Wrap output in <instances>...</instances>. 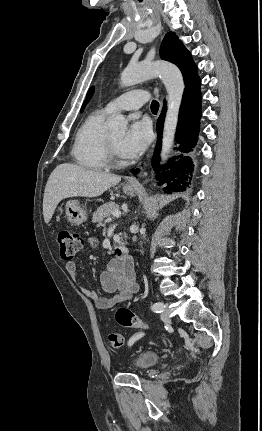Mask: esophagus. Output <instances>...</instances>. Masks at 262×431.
I'll list each match as a JSON object with an SVG mask.
<instances>
[{
  "label": "esophagus",
  "mask_w": 262,
  "mask_h": 431,
  "mask_svg": "<svg viewBox=\"0 0 262 431\" xmlns=\"http://www.w3.org/2000/svg\"><path fill=\"white\" fill-rule=\"evenodd\" d=\"M128 185H132V186H140V183L135 180V179H131L128 181Z\"/></svg>",
  "instance_id": "esophagus-1"
}]
</instances>
